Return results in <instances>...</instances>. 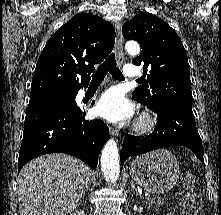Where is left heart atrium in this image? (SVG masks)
Here are the masks:
<instances>
[{
    "mask_svg": "<svg viewBox=\"0 0 221 215\" xmlns=\"http://www.w3.org/2000/svg\"><path fill=\"white\" fill-rule=\"evenodd\" d=\"M94 112L110 122H124L133 116V106L119 88L113 87L100 96Z\"/></svg>",
    "mask_w": 221,
    "mask_h": 215,
    "instance_id": "obj_1",
    "label": "left heart atrium"
}]
</instances>
